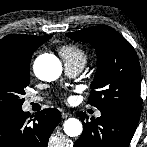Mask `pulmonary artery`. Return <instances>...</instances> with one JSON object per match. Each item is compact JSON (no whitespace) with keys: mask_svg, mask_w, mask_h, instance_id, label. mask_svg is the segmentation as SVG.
<instances>
[{"mask_svg":"<svg viewBox=\"0 0 147 147\" xmlns=\"http://www.w3.org/2000/svg\"><path fill=\"white\" fill-rule=\"evenodd\" d=\"M82 68L83 67L78 65V64H65V70H66L67 74L69 76H71V77L77 76L81 72ZM40 101H42V97H40V96H31L28 99L27 104L29 105L30 103H36V102H40ZM96 116L100 117L101 112L97 111Z\"/></svg>","mask_w":147,"mask_h":147,"instance_id":"obj_1","label":"pulmonary artery"}]
</instances>
